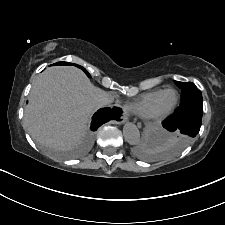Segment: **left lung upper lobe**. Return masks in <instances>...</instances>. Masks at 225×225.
Listing matches in <instances>:
<instances>
[{
    "label": "left lung upper lobe",
    "instance_id": "5c2ea615",
    "mask_svg": "<svg viewBox=\"0 0 225 225\" xmlns=\"http://www.w3.org/2000/svg\"><path fill=\"white\" fill-rule=\"evenodd\" d=\"M176 84L182 89L181 104L177 109H182L187 106L192 105H203V99L201 91L192 82H179ZM177 146L183 147L193 140V138H188L180 133H177Z\"/></svg>",
    "mask_w": 225,
    "mask_h": 225
}]
</instances>
